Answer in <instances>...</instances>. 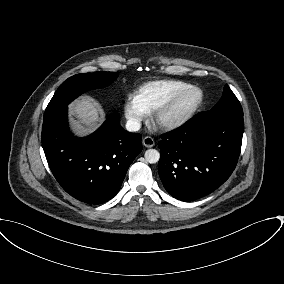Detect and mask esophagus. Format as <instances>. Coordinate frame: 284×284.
I'll return each instance as SVG.
<instances>
[{"label": "esophagus", "mask_w": 284, "mask_h": 284, "mask_svg": "<svg viewBox=\"0 0 284 284\" xmlns=\"http://www.w3.org/2000/svg\"><path fill=\"white\" fill-rule=\"evenodd\" d=\"M142 143L145 147L151 148L155 145V141L152 137L146 136L143 138Z\"/></svg>", "instance_id": "obj_1"}]
</instances>
